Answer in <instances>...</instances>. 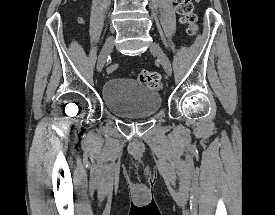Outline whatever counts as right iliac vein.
Here are the masks:
<instances>
[{"label":"right iliac vein","mask_w":275,"mask_h":215,"mask_svg":"<svg viewBox=\"0 0 275 215\" xmlns=\"http://www.w3.org/2000/svg\"><path fill=\"white\" fill-rule=\"evenodd\" d=\"M113 46H114V38H113V36H109L103 46V49L100 52V55L98 58L97 69L99 72L103 69L106 59H107V56L113 50Z\"/></svg>","instance_id":"right-iliac-vein-1"}]
</instances>
